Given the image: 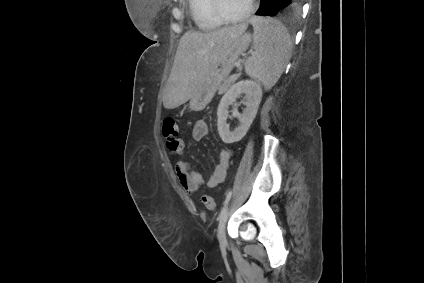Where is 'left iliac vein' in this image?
Listing matches in <instances>:
<instances>
[{
  "label": "left iliac vein",
  "mask_w": 424,
  "mask_h": 283,
  "mask_svg": "<svg viewBox=\"0 0 424 283\" xmlns=\"http://www.w3.org/2000/svg\"><path fill=\"white\" fill-rule=\"evenodd\" d=\"M229 216V205H226L223 210L221 211L220 217H219V225H218V240L221 245V247L227 246V239H226V222Z\"/></svg>",
  "instance_id": "4c4485c4"
}]
</instances>
